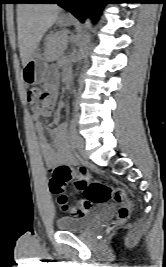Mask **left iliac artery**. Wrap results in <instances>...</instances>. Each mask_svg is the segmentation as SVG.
<instances>
[{
	"label": "left iliac artery",
	"instance_id": "left-iliac-artery-1",
	"mask_svg": "<svg viewBox=\"0 0 166 267\" xmlns=\"http://www.w3.org/2000/svg\"><path fill=\"white\" fill-rule=\"evenodd\" d=\"M76 135L77 133L74 125V120L72 119L70 120V138L73 144H75Z\"/></svg>",
	"mask_w": 166,
	"mask_h": 267
}]
</instances>
